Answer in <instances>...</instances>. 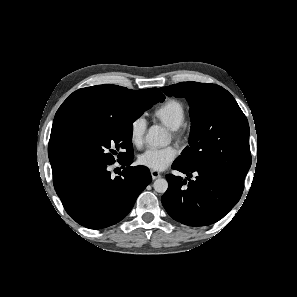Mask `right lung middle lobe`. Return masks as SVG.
<instances>
[{
    "mask_svg": "<svg viewBox=\"0 0 297 297\" xmlns=\"http://www.w3.org/2000/svg\"><path fill=\"white\" fill-rule=\"evenodd\" d=\"M158 101L162 99L143 93L120 114L96 116L73 123L61 139L60 155L64 167L71 171L91 164L112 163L116 155L119 159L133 156L132 123Z\"/></svg>",
    "mask_w": 297,
    "mask_h": 297,
    "instance_id": "obj_1",
    "label": "right lung middle lobe"
}]
</instances>
